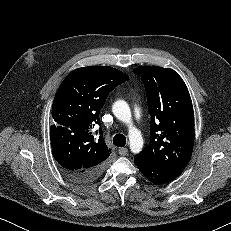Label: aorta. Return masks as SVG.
<instances>
[{"label": "aorta", "instance_id": "aorta-1", "mask_svg": "<svg viewBox=\"0 0 231 231\" xmlns=\"http://www.w3.org/2000/svg\"><path fill=\"white\" fill-rule=\"evenodd\" d=\"M112 111L118 120L128 126L130 150L134 154L139 153L143 148V138L141 132L133 126L129 105L124 100H118L113 104Z\"/></svg>", "mask_w": 231, "mask_h": 231}]
</instances>
